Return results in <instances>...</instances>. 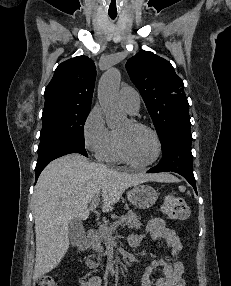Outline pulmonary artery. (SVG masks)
Returning <instances> with one entry per match:
<instances>
[{"label": "pulmonary artery", "instance_id": "obj_1", "mask_svg": "<svg viewBox=\"0 0 231 286\" xmlns=\"http://www.w3.org/2000/svg\"><path fill=\"white\" fill-rule=\"evenodd\" d=\"M119 99L122 106L130 113L136 114L140 107V96L138 92L131 87H123L119 93Z\"/></svg>", "mask_w": 231, "mask_h": 286}]
</instances>
